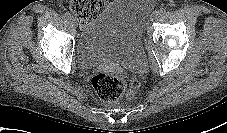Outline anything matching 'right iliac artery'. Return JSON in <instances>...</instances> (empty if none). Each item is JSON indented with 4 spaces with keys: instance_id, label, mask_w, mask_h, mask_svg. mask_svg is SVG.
Segmentation results:
<instances>
[{
    "instance_id": "1",
    "label": "right iliac artery",
    "mask_w": 227,
    "mask_h": 133,
    "mask_svg": "<svg viewBox=\"0 0 227 133\" xmlns=\"http://www.w3.org/2000/svg\"><path fill=\"white\" fill-rule=\"evenodd\" d=\"M65 17H66L67 19H71V18H72V15H71V13L66 12V13H65Z\"/></svg>"
}]
</instances>
